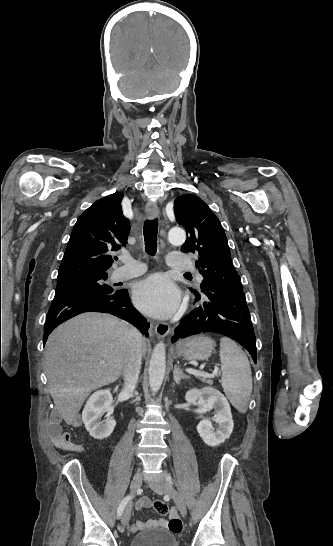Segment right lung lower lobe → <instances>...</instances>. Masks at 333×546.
<instances>
[{
    "label": "right lung lower lobe",
    "mask_w": 333,
    "mask_h": 546,
    "mask_svg": "<svg viewBox=\"0 0 333 546\" xmlns=\"http://www.w3.org/2000/svg\"><path fill=\"white\" fill-rule=\"evenodd\" d=\"M109 313L136 326L148 337L149 322L131 304L126 289L113 294L74 293L55 296L44 325V344L48 335L64 321L84 312Z\"/></svg>",
    "instance_id": "98d812e1"
}]
</instances>
